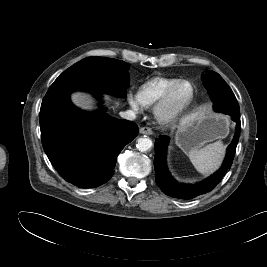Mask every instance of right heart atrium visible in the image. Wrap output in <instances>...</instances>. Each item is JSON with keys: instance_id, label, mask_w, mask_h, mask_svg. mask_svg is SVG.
Masks as SVG:
<instances>
[{"instance_id": "obj_1", "label": "right heart atrium", "mask_w": 267, "mask_h": 267, "mask_svg": "<svg viewBox=\"0 0 267 267\" xmlns=\"http://www.w3.org/2000/svg\"><path fill=\"white\" fill-rule=\"evenodd\" d=\"M128 103L129 105L136 111H139L142 109L143 104L140 100V98L137 95L129 94L128 95Z\"/></svg>"}]
</instances>
